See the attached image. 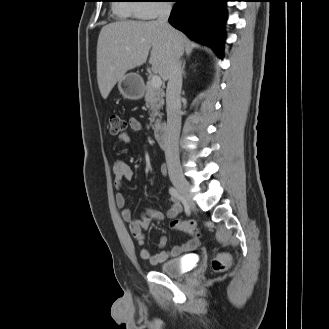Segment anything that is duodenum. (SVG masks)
<instances>
[{
	"label": "duodenum",
	"instance_id": "obj_1",
	"mask_svg": "<svg viewBox=\"0 0 329 329\" xmlns=\"http://www.w3.org/2000/svg\"><path fill=\"white\" fill-rule=\"evenodd\" d=\"M153 132L159 145L164 149H168L169 148L168 131L161 121L153 122Z\"/></svg>",
	"mask_w": 329,
	"mask_h": 329
}]
</instances>
